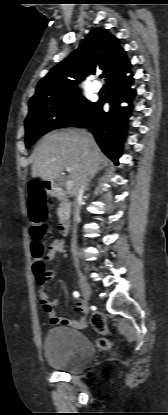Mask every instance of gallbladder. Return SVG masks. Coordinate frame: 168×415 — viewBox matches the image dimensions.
<instances>
[{"mask_svg":"<svg viewBox=\"0 0 168 415\" xmlns=\"http://www.w3.org/2000/svg\"><path fill=\"white\" fill-rule=\"evenodd\" d=\"M60 184H61V180H57L56 185H60Z\"/></svg>","mask_w":168,"mask_h":415,"instance_id":"obj_1","label":"gallbladder"}]
</instances>
